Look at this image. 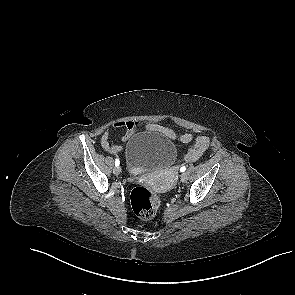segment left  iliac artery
<instances>
[{"label": "left iliac artery", "mask_w": 295, "mask_h": 295, "mask_svg": "<svg viewBox=\"0 0 295 295\" xmlns=\"http://www.w3.org/2000/svg\"><path fill=\"white\" fill-rule=\"evenodd\" d=\"M186 170V167L185 166H182L181 168H180V171L181 172H184Z\"/></svg>", "instance_id": "obj_1"}]
</instances>
